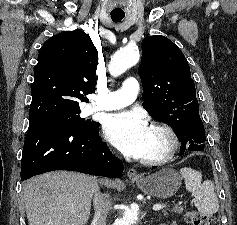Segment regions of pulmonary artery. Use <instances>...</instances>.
Segmentation results:
<instances>
[{"label": "pulmonary artery", "mask_w": 237, "mask_h": 225, "mask_svg": "<svg viewBox=\"0 0 237 225\" xmlns=\"http://www.w3.org/2000/svg\"><path fill=\"white\" fill-rule=\"evenodd\" d=\"M139 84L135 78H127L121 89L110 92L100 100L93 101L92 111L97 110H116L131 104L137 97Z\"/></svg>", "instance_id": "obj_1"}]
</instances>
